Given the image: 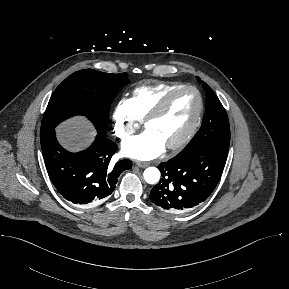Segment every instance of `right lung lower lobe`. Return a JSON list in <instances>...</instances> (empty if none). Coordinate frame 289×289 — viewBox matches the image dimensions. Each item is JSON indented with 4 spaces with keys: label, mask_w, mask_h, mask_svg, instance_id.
<instances>
[{
    "label": "right lung lower lobe",
    "mask_w": 289,
    "mask_h": 289,
    "mask_svg": "<svg viewBox=\"0 0 289 289\" xmlns=\"http://www.w3.org/2000/svg\"><path fill=\"white\" fill-rule=\"evenodd\" d=\"M42 153L51 181L58 192L77 205H94L112 194L120 174L132 167V161L110 163L117 145L98 134L92 145L79 153H70L57 142L55 130L41 133Z\"/></svg>",
    "instance_id": "98d812e1"
}]
</instances>
